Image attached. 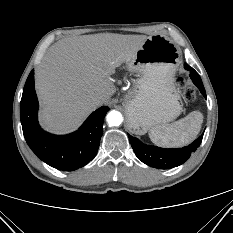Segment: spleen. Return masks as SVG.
Here are the masks:
<instances>
[{"mask_svg": "<svg viewBox=\"0 0 233 233\" xmlns=\"http://www.w3.org/2000/svg\"><path fill=\"white\" fill-rule=\"evenodd\" d=\"M203 115L200 111H192L186 117L166 125L149 130L151 141L161 147L175 148L191 143L200 132Z\"/></svg>", "mask_w": 233, "mask_h": 233, "instance_id": "obj_1", "label": "spleen"}]
</instances>
